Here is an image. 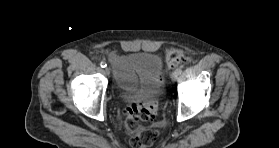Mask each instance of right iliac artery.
Returning a JSON list of instances; mask_svg holds the SVG:
<instances>
[{
	"instance_id": "obj_1",
	"label": "right iliac artery",
	"mask_w": 279,
	"mask_h": 148,
	"mask_svg": "<svg viewBox=\"0 0 279 148\" xmlns=\"http://www.w3.org/2000/svg\"><path fill=\"white\" fill-rule=\"evenodd\" d=\"M100 66H101L102 68H105V67L107 66V64H106L104 61H102V62H100Z\"/></svg>"
}]
</instances>
